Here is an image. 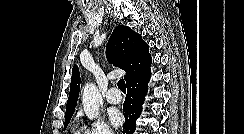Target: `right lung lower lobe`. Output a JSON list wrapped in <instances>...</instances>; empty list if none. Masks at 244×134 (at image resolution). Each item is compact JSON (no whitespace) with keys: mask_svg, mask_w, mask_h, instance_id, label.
Listing matches in <instances>:
<instances>
[{"mask_svg":"<svg viewBox=\"0 0 244 134\" xmlns=\"http://www.w3.org/2000/svg\"><path fill=\"white\" fill-rule=\"evenodd\" d=\"M149 79L150 75L127 85V95L123 104V114L126 119L123 134H133L136 129V120L142 111Z\"/></svg>","mask_w":244,"mask_h":134,"instance_id":"obj_1","label":"right lung lower lobe"}]
</instances>
